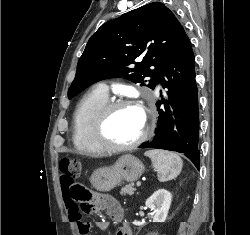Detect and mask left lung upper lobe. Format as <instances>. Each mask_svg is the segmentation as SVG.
<instances>
[{
  "label": "left lung upper lobe",
  "instance_id": "obj_1",
  "mask_svg": "<svg viewBox=\"0 0 250 235\" xmlns=\"http://www.w3.org/2000/svg\"><path fill=\"white\" fill-rule=\"evenodd\" d=\"M182 29L173 12L160 2L144 5L104 23L91 36L78 61L68 97L112 77H126L154 89ZM136 59L140 62H135ZM145 77L151 80H144Z\"/></svg>",
  "mask_w": 250,
  "mask_h": 235
}]
</instances>
